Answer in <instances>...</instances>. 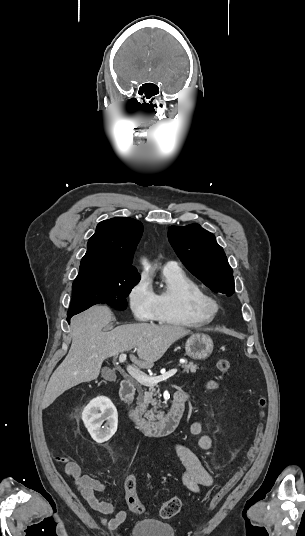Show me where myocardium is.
Masks as SVG:
<instances>
[{"instance_id": "1", "label": "myocardium", "mask_w": 305, "mask_h": 536, "mask_svg": "<svg viewBox=\"0 0 305 536\" xmlns=\"http://www.w3.org/2000/svg\"><path fill=\"white\" fill-rule=\"evenodd\" d=\"M191 304L194 311L209 323L215 321L222 309L220 300L208 293L195 297Z\"/></svg>"}]
</instances>
